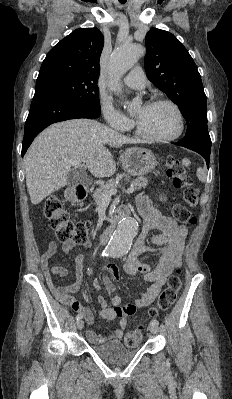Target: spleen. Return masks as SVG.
I'll use <instances>...</instances> for the list:
<instances>
[{
  "label": "spleen",
  "instance_id": "3e777b00",
  "mask_svg": "<svg viewBox=\"0 0 232 399\" xmlns=\"http://www.w3.org/2000/svg\"><path fill=\"white\" fill-rule=\"evenodd\" d=\"M196 176L200 182H206V170L204 168H198Z\"/></svg>",
  "mask_w": 232,
  "mask_h": 399
}]
</instances>
